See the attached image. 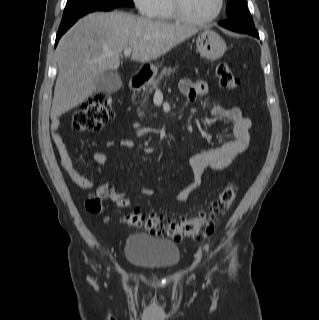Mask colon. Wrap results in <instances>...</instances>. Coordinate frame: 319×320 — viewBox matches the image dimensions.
<instances>
[{"label":"colon","mask_w":319,"mask_h":320,"mask_svg":"<svg viewBox=\"0 0 319 320\" xmlns=\"http://www.w3.org/2000/svg\"><path fill=\"white\" fill-rule=\"evenodd\" d=\"M215 75L221 86L234 90L239 86L238 78L229 65L222 61L215 69ZM115 116L111 98L106 93L93 95L88 102L75 112L72 127L77 131H97ZM236 186L228 184L213 198L207 210L200 211L196 216L172 220L162 214H144L133 211L125 215L124 222L132 227L144 230L154 235H164L175 241L184 237H205L210 235L221 217L228 211L236 195ZM130 201L122 198L120 207L129 206ZM86 209L91 213H100L102 203L99 198H91L86 202Z\"/></svg>","instance_id":"1"}]
</instances>
